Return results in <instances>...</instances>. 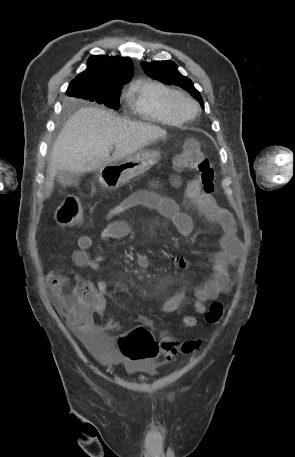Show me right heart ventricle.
I'll list each match as a JSON object with an SVG mask.
<instances>
[{"instance_id":"e07e8e85","label":"right heart ventricle","mask_w":295,"mask_h":457,"mask_svg":"<svg viewBox=\"0 0 295 457\" xmlns=\"http://www.w3.org/2000/svg\"><path fill=\"white\" fill-rule=\"evenodd\" d=\"M174 92L169 86L156 80L132 83L125 95L128 107L139 118L166 125H179L183 120L170 109L169 97Z\"/></svg>"}]
</instances>
